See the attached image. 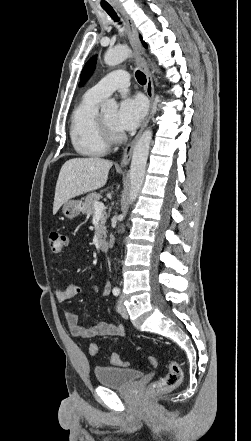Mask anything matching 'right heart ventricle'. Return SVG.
I'll use <instances>...</instances> for the list:
<instances>
[{
	"label": "right heart ventricle",
	"instance_id": "1",
	"mask_svg": "<svg viewBox=\"0 0 251 441\" xmlns=\"http://www.w3.org/2000/svg\"><path fill=\"white\" fill-rule=\"evenodd\" d=\"M103 98L89 89L72 113L70 138L75 151L82 156H101L108 149L98 124V107Z\"/></svg>",
	"mask_w": 251,
	"mask_h": 441
}]
</instances>
